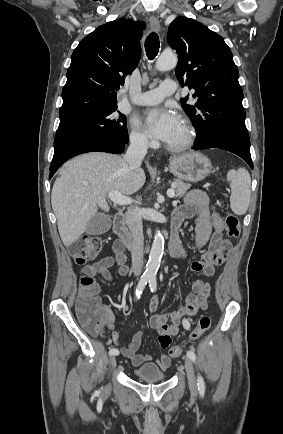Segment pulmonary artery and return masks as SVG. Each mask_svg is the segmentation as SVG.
Returning <instances> with one entry per match:
<instances>
[{
  "mask_svg": "<svg viewBox=\"0 0 283 434\" xmlns=\"http://www.w3.org/2000/svg\"><path fill=\"white\" fill-rule=\"evenodd\" d=\"M176 90V83L173 80L167 79L152 90L137 94L133 98V102L137 105H152L161 102L165 97L172 95Z\"/></svg>",
  "mask_w": 283,
  "mask_h": 434,
  "instance_id": "pulmonary-artery-1",
  "label": "pulmonary artery"
}]
</instances>
